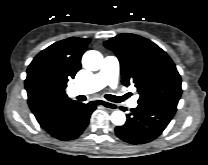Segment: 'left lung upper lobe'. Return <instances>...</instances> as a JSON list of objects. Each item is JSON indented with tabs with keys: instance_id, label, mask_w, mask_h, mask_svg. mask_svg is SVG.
<instances>
[{
	"instance_id": "left-lung-upper-lobe-1",
	"label": "left lung upper lobe",
	"mask_w": 208,
	"mask_h": 165,
	"mask_svg": "<svg viewBox=\"0 0 208 165\" xmlns=\"http://www.w3.org/2000/svg\"><path fill=\"white\" fill-rule=\"evenodd\" d=\"M120 62L122 83H131L140 94L138 104H178L181 78L171 58L152 41L122 33L104 42Z\"/></svg>"
}]
</instances>
